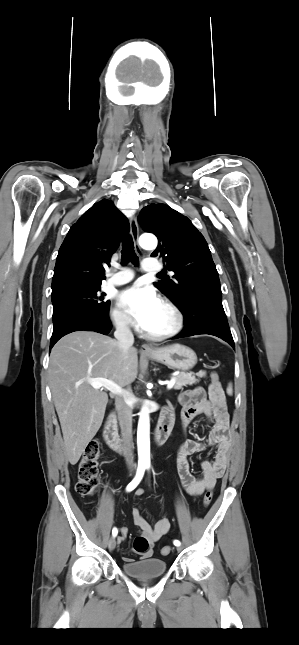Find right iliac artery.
<instances>
[{"instance_id": "right-iliac-artery-1", "label": "right iliac artery", "mask_w": 299, "mask_h": 645, "mask_svg": "<svg viewBox=\"0 0 299 645\" xmlns=\"http://www.w3.org/2000/svg\"><path fill=\"white\" fill-rule=\"evenodd\" d=\"M144 472H145V466H138L135 478L128 484L126 488L128 492L134 490L137 487V485L140 483V481L143 478ZM117 534H118L117 528H113L112 535L115 537Z\"/></svg>"}]
</instances>
